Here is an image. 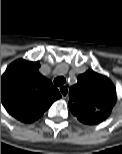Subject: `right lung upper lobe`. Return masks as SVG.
<instances>
[{"label":"right lung upper lobe","mask_w":122,"mask_h":154,"mask_svg":"<svg viewBox=\"0 0 122 154\" xmlns=\"http://www.w3.org/2000/svg\"><path fill=\"white\" fill-rule=\"evenodd\" d=\"M40 63L18 59L1 77V101L16 119L31 123L61 98L58 89L39 73Z\"/></svg>","instance_id":"cb5924a9"}]
</instances>
